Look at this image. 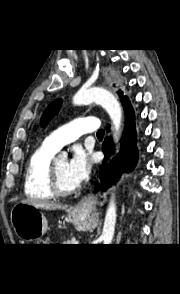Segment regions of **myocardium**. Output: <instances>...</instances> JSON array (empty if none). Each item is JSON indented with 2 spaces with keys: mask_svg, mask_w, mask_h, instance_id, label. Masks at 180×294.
Wrapping results in <instances>:
<instances>
[{
  "mask_svg": "<svg viewBox=\"0 0 180 294\" xmlns=\"http://www.w3.org/2000/svg\"><path fill=\"white\" fill-rule=\"evenodd\" d=\"M56 161L57 160H53L49 167L48 186L50 191L57 197H69L77 194L79 191L78 187L72 190H65L62 188L57 174Z\"/></svg>",
  "mask_w": 180,
  "mask_h": 294,
  "instance_id": "f54148a6",
  "label": "myocardium"
}]
</instances>
